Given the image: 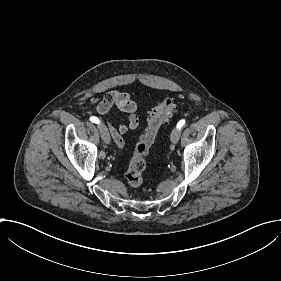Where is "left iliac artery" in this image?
<instances>
[{"instance_id": "left-iliac-artery-1", "label": "left iliac artery", "mask_w": 281, "mask_h": 281, "mask_svg": "<svg viewBox=\"0 0 281 281\" xmlns=\"http://www.w3.org/2000/svg\"><path fill=\"white\" fill-rule=\"evenodd\" d=\"M184 124H185V120H180V121L178 122V124H177V128H179V130H180V128H181Z\"/></svg>"}]
</instances>
